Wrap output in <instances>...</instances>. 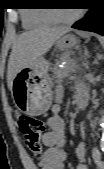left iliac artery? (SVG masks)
<instances>
[{"instance_id":"left-iliac-artery-1","label":"left iliac artery","mask_w":104,"mask_h":169,"mask_svg":"<svg viewBox=\"0 0 104 169\" xmlns=\"http://www.w3.org/2000/svg\"><path fill=\"white\" fill-rule=\"evenodd\" d=\"M92 157L95 161V163H100V160H101V156H100V152L98 151L97 148H93L92 149Z\"/></svg>"}]
</instances>
